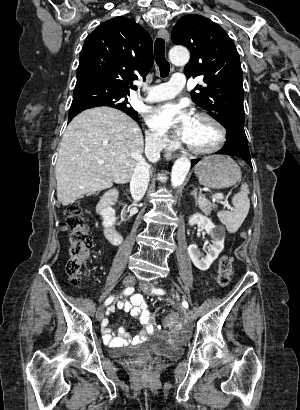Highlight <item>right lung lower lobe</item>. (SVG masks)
<instances>
[{
    "label": "right lung lower lobe",
    "mask_w": 300,
    "mask_h": 410,
    "mask_svg": "<svg viewBox=\"0 0 300 410\" xmlns=\"http://www.w3.org/2000/svg\"><path fill=\"white\" fill-rule=\"evenodd\" d=\"M78 113H80V112H78ZM78 113L69 114L68 122H70L72 120V118H74ZM128 115L131 116L133 119H137V116H135V115H131V114H128Z\"/></svg>",
    "instance_id": "1"
}]
</instances>
